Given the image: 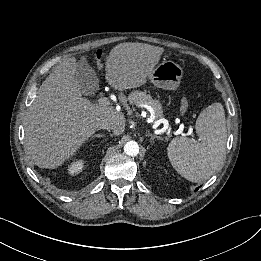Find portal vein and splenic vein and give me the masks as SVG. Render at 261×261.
I'll use <instances>...</instances> for the list:
<instances>
[{
  "mask_svg": "<svg viewBox=\"0 0 261 261\" xmlns=\"http://www.w3.org/2000/svg\"><path fill=\"white\" fill-rule=\"evenodd\" d=\"M98 103H99L100 105H102V106H108V105L111 104V101H110L108 98H106V97H101V98L98 99ZM147 109L153 111V109H152L150 106H147ZM153 121H154V116H153V117H150V118L148 119V122H149V123H151V122H153Z\"/></svg>",
  "mask_w": 261,
  "mask_h": 261,
  "instance_id": "portal-vein-and-splenic-vein-1",
  "label": "portal vein and splenic vein"
}]
</instances>
